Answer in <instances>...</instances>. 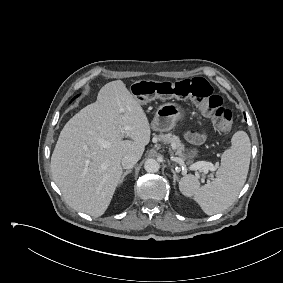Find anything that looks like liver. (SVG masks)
<instances>
[{"label":"liver","mask_w":283,"mask_h":283,"mask_svg":"<svg viewBox=\"0 0 283 283\" xmlns=\"http://www.w3.org/2000/svg\"><path fill=\"white\" fill-rule=\"evenodd\" d=\"M150 135L148 118L123 81L105 84L97 101L66 123L51 157L53 179L66 202L103 215L121 179L122 158L132 153L141 158Z\"/></svg>","instance_id":"6515ba94"}]
</instances>
